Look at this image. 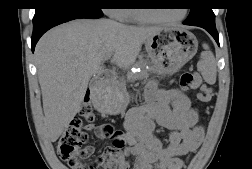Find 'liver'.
Segmentation results:
<instances>
[{"label":"liver","instance_id":"6515ba94","mask_svg":"<svg viewBox=\"0 0 252 169\" xmlns=\"http://www.w3.org/2000/svg\"><path fill=\"white\" fill-rule=\"evenodd\" d=\"M161 29L102 18L73 20L45 33L36 45L35 61L49 140L55 142L74 119L90 78L103 71L107 55L117 66L129 68L144 41Z\"/></svg>","mask_w":252,"mask_h":169}]
</instances>
